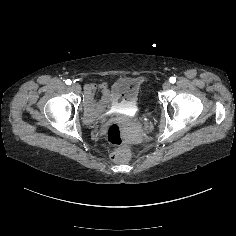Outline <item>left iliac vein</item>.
<instances>
[{
	"mask_svg": "<svg viewBox=\"0 0 236 236\" xmlns=\"http://www.w3.org/2000/svg\"><path fill=\"white\" fill-rule=\"evenodd\" d=\"M162 87L164 90H168L171 87V84L170 82L166 81L163 83Z\"/></svg>",
	"mask_w": 236,
	"mask_h": 236,
	"instance_id": "obj_1",
	"label": "left iliac vein"
}]
</instances>
